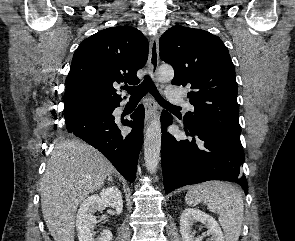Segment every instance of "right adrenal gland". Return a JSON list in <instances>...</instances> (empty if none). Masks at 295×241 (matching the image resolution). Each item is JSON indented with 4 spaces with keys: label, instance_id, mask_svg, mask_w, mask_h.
Returning a JSON list of instances; mask_svg holds the SVG:
<instances>
[{
    "label": "right adrenal gland",
    "instance_id": "1",
    "mask_svg": "<svg viewBox=\"0 0 295 241\" xmlns=\"http://www.w3.org/2000/svg\"><path fill=\"white\" fill-rule=\"evenodd\" d=\"M108 181H113L112 176L108 177Z\"/></svg>",
    "mask_w": 295,
    "mask_h": 241
}]
</instances>
